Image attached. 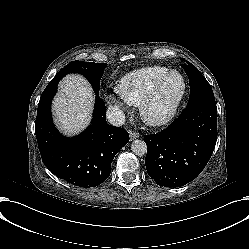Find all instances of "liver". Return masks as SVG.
I'll return each mask as SVG.
<instances>
[{"instance_id":"6515ba94","label":"liver","mask_w":249,"mask_h":249,"mask_svg":"<svg viewBox=\"0 0 249 249\" xmlns=\"http://www.w3.org/2000/svg\"><path fill=\"white\" fill-rule=\"evenodd\" d=\"M95 96L88 81L81 75L64 77L52 103L54 121L67 136L85 130L91 122Z\"/></svg>"}]
</instances>
